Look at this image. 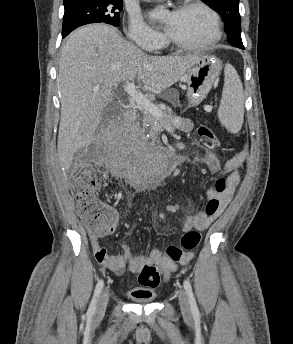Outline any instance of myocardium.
I'll return each instance as SVG.
<instances>
[{"label":"myocardium","instance_id":"f54148a6","mask_svg":"<svg viewBox=\"0 0 293 344\" xmlns=\"http://www.w3.org/2000/svg\"><path fill=\"white\" fill-rule=\"evenodd\" d=\"M192 8H199L204 10L211 18L213 24V34L209 40L197 43V44H189L182 41L175 39L174 37L170 36L168 33H165V38L167 43L181 51H202L207 50L214 45H216L220 39L222 38V25L221 19L219 14L215 9H213L210 5L204 3L201 0H189L182 5L178 6L174 12H183Z\"/></svg>","mask_w":293,"mask_h":344}]
</instances>
